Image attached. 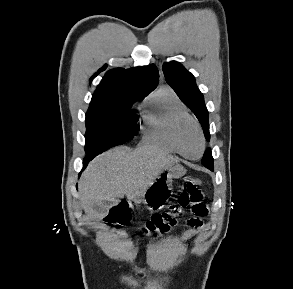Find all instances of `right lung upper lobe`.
<instances>
[{
    "instance_id": "right-lung-upper-lobe-1",
    "label": "right lung upper lobe",
    "mask_w": 293,
    "mask_h": 289,
    "mask_svg": "<svg viewBox=\"0 0 293 289\" xmlns=\"http://www.w3.org/2000/svg\"><path fill=\"white\" fill-rule=\"evenodd\" d=\"M159 72L154 64L132 69H111L98 85L90 105L144 98L158 85Z\"/></svg>"
}]
</instances>
